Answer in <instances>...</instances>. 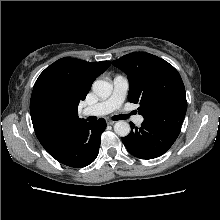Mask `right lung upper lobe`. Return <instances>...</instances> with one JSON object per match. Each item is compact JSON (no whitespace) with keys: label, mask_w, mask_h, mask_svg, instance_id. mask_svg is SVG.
I'll return each mask as SVG.
<instances>
[{"label":"right lung upper lobe","mask_w":220,"mask_h":220,"mask_svg":"<svg viewBox=\"0 0 220 220\" xmlns=\"http://www.w3.org/2000/svg\"><path fill=\"white\" fill-rule=\"evenodd\" d=\"M110 64V61L61 58L40 74L34 84L30 113L36 136L47 152L62 142L76 126L86 122L78 118V104L86 98L94 80ZM46 92L52 93L62 108V116L56 121H45L34 113L36 100Z\"/></svg>","instance_id":"1"}]
</instances>
